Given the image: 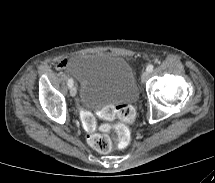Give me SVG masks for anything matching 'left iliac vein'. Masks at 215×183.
<instances>
[{"label": "left iliac vein", "instance_id": "1", "mask_svg": "<svg viewBox=\"0 0 215 183\" xmlns=\"http://www.w3.org/2000/svg\"><path fill=\"white\" fill-rule=\"evenodd\" d=\"M148 77H149V72L148 71L143 72V74L141 76L142 82L145 83L147 81Z\"/></svg>", "mask_w": 215, "mask_h": 183}]
</instances>
